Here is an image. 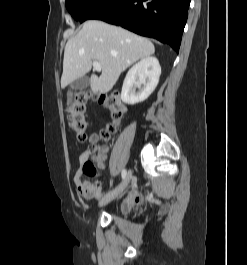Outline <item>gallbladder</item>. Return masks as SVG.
I'll list each match as a JSON object with an SVG mask.
<instances>
[{
    "label": "gallbladder",
    "mask_w": 247,
    "mask_h": 265,
    "mask_svg": "<svg viewBox=\"0 0 247 265\" xmlns=\"http://www.w3.org/2000/svg\"><path fill=\"white\" fill-rule=\"evenodd\" d=\"M89 86V78L87 76H83L81 78H78L74 80L71 85V90H83L86 89ZM69 103H72V98L68 100Z\"/></svg>",
    "instance_id": "obj_1"
}]
</instances>
